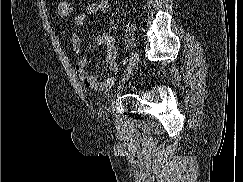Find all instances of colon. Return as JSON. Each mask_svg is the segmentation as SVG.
<instances>
[{
  "mask_svg": "<svg viewBox=\"0 0 243 182\" xmlns=\"http://www.w3.org/2000/svg\"><path fill=\"white\" fill-rule=\"evenodd\" d=\"M55 8H56L57 14L62 18H68L73 13V7L69 2L57 3Z\"/></svg>",
  "mask_w": 243,
  "mask_h": 182,
  "instance_id": "1",
  "label": "colon"
}]
</instances>
